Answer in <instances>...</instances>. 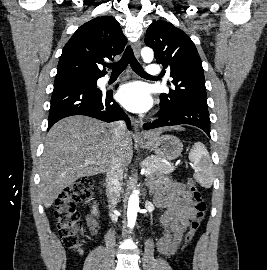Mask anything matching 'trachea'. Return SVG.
<instances>
[{"mask_svg": "<svg viewBox=\"0 0 267 270\" xmlns=\"http://www.w3.org/2000/svg\"><path fill=\"white\" fill-rule=\"evenodd\" d=\"M130 64L132 69L139 75H145L147 76L148 74L144 71L142 66L139 64V62L136 60L133 50L131 46H127L125 49V52L122 56V58L115 63L108 64L107 67L112 69V73H121L123 72L127 65Z\"/></svg>", "mask_w": 267, "mask_h": 270, "instance_id": "3493384b", "label": "trachea"}]
</instances>
